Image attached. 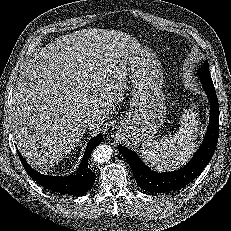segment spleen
Listing matches in <instances>:
<instances>
[{
	"label": "spleen",
	"instance_id": "spleen-1",
	"mask_svg": "<svg viewBox=\"0 0 231 231\" xmlns=\"http://www.w3.org/2000/svg\"><path fill=\"white\" fill-rule=\"evenodd\" d=\"M197 115L193 108L185 109L175 135H163L159 141L142 148L143 158L151 168L158 171L171 170L190 158L198 137Z\"/></svg>",
	"mask_w": 231,
	"mask_h": 231
}]
</instances>
